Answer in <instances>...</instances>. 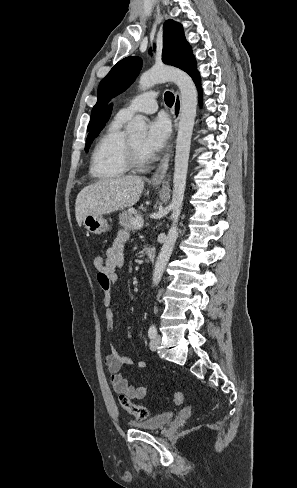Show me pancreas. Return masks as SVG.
<instances>
[{"label":"pancreas","mask_w":297,"mask_h":488,"mask_svg":"<svg viewBox=\"0 0 297 488\" xmlns=\"http://www.w3.org/2000/svg\"><path fill=\"white\" fill-rule=\"evenodd\" d=\"M135 212L133 210H124L119 214V224L123 226L126 230H133L135 227L132 221L136 218Z\"/></svg>","instance_id":"cf45deb5"}]
</instances>
